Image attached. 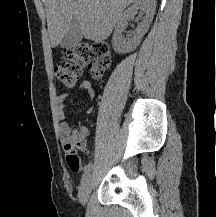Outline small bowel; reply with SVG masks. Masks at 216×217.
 <instances>
[{"label":"small bowel","mask_w":216,"mask_h":217,"mask_svg":"<svg viewBox=\"0 0 216 217\" xmlns=\"http://www.w3.org/2000/svg\"><path fill=\"white\" fill-rule=\"evenodd\" d=\"M79 88L86 93L88 98L90 100H93L95 97V91L93 88V85L88 80H83ZM68 98V93H62L57 98V115L58 118L61 120L60 124V138L64 145V148L67 147L68 142L77 138L78 135L73 132L72 129V121L67 119L66 109H65V101ZM87 112H92V107L89 106L87 108ZM79 135L83 137H89L90 136V130L86 126H82L79 131Z\"/></svg>","instance_id":"obj_1"}]
</instances>
